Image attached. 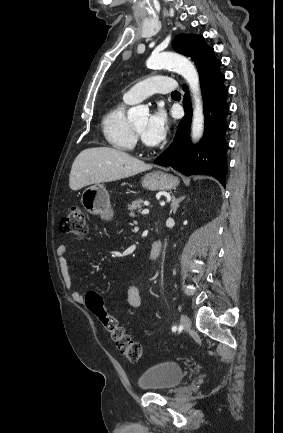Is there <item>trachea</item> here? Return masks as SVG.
<instances>
[{
    "instance_id": "trachea-1",
    "label": "trachea",
    "mask_w": 283,
    "mask_h": 433,
    "mask_svg": "<svg viewBox=\"0 0 283 433\" xmlns=\"http://www.w3.org/2000/svg\"><path fill=\"white\" fill-rule=\"evenodd\" d=\"M171 95H180V92H178V91H173L172 93H171Z\"/></svg>"
}]
</instances>
